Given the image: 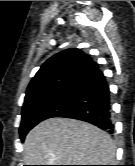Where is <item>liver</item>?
I'll use <instances>...</instances> for the list:
<instances>
[{"label":"liver","instance_id":"1","mask_svg":"<svg viewBox=\"0 0 135 166\" xmlns=\"http://www.w3.org/2000/svg\"><path fill=\"white\" fill-rule=\"evenodd\" d=\"M116 146L110 135L84 121L50 118L24 142L27 165H112Z\"/></svg>","mask_w":135,"mask_h":166}]
</instances>
